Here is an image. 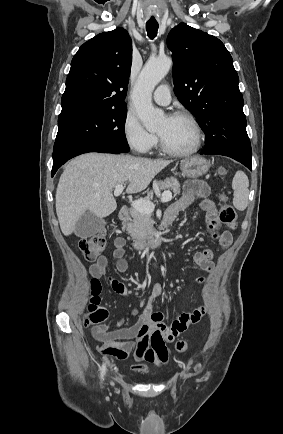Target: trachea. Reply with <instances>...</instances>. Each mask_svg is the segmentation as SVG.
<instances>
[{"mask_svg": "<svg viewBox=\"0 0 283 434\" xmlns=\"http://www.w3.org/2000/svg\"><path fill=\"white\" fill-rule=\"evenodd\" d=\"M158 27H159V25H158L157 22H150V21H148L146 23V31H147L148 37L150 39H154L156 37L157 31H158Z\"/></svg>", "mask_w": 283, "mask_h": 434, "instance_id": "1", "label": "trachea"}]
</instances>
